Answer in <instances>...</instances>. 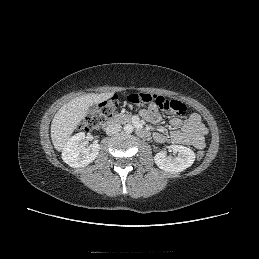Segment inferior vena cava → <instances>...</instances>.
<instances>
[{
  "instance_id": "1",
  "label": "inferior vena cava",
  "mask_w": 259,
  "mask_h": 259,
  "mask_svg": "<svg viewBox=\"0 0 259 259\" xmlns=\"http://www.w3.org/2000/svg\"><path fill=\"white\" fill-rule=\"evenodd\" d=\"M121 129H122V126L119 123L112 122L107 125L106 134L111 136V135H114V134H117L118 132H120Z\"/></svg>"
}]
</instances>
